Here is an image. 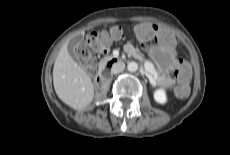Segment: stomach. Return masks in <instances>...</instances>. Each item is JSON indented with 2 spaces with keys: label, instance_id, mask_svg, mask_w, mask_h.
I'll list each match as a JSON object with an SVG mask.
<instances>
[{
  "label": "stomach",
  "instance_id": "0dacf381",
  "mask_svg": "<svg viewBox=\"0 0 230 155\" xmlns=\"http://www.w3.org/2000/svg\"><path fill=\"white\" fill-rule=\"evenodd\" d=\"M162 50L158 46H151L148 49L150 58L157 66L159 75L168 74L173 69V59L168 60L163 57Z\"/></svg>",
  "mask_w": 230,
  "mask_h": 155
}]
</instances>
